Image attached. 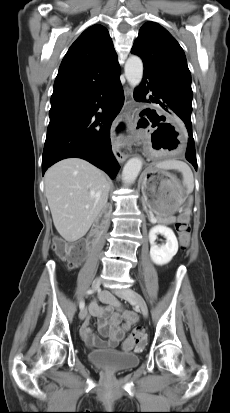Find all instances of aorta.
<instances>
[{
	"instance_id": "762f6f07",
	"label": "aorta",
	"mask_w": 230,
	"mask_h": 413,
	"mask_svg": "<svg viewBox=\"0 0 230 413\" xmlns=\"http://www.w3.org/2000/svg\"><path fill=\"white\" fill-rule=\"evenodd\" d=\"M125 76L128 83L134 88L138 86L143 77V63L140 57L132 55L125 63ZM142 169V160L140 158H131L125 164L122 177L126 184H132L138 177Z\"/></svg>"
}]
</instances>
